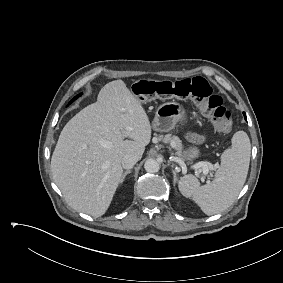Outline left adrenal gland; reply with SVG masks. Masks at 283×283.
I'll return each instance as SVG.
<instances>
[{"mask_svg":"<svg viewBox=\"0 0 283 283\" xmlns=\"http://www.w3.org/2000/svg\"><path fill=\"white\" fill-rule=\"evenodd\" d=\"M173 179H174V183H176L177 181V175H176V172L173 170Z\"/></svg>","mask_w":283,"mask_h":283,"instance_id":"a2214340","label":"left adrenal gland"}]
</instances>
